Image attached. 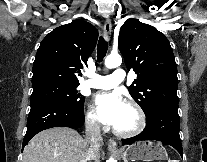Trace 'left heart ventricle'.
<instances>
[{"mask_svg":"<svg viewBox=\"0 0 207 162\" xmlns=\"http://www.w3.org/2000/svg\"><path fill=\"white\" fill-rule=\"evenodd\" d=\"M137 122L138 117L134 108L124 104L114 127L119 130L128 131L133 129L137 125Z\"/></svg>","mask_w":207,"mask_h":162,"instance_id":"left-heart-ventricle-1","label":"left heart ventricle"}]
</instances>
